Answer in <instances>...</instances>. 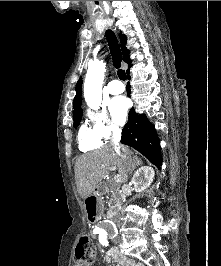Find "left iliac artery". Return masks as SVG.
<instances>
[{"label": "left iliac artery", "mask_w": 221, "mask_h": 266, "mask_svg": "<svg viewBox=\"0 0 221 266\" xmlns=\"http://www.w3.org/2000/svg\"><path fill=\"white\" fill-rule=\"evenodd\" d=\"M99 241L102 245L107 246L108 245V241H107V237H106V232H100L99 233Z\"/></svg>", "instance_id": "left-iliac-artery-1"}]
</instances>
